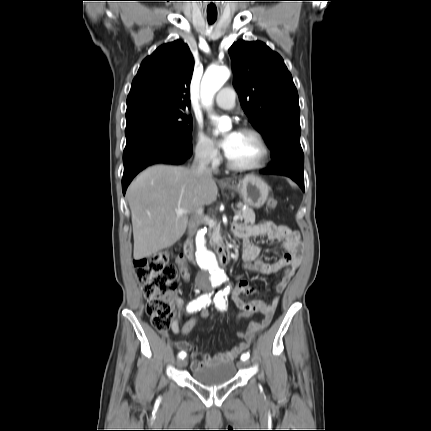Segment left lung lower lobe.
Listing matches in <instances>:
<instances>
[{
  "label": "left lung lower lobe",
  "mask_w": 431,
  "mask_h": 431,
  "mask_svg": "<svg viewBox=\"0 0 431 431\" xmlns=\"http://www.w3.org/2000/svg\"><path fill=\"white\" fill-rule=\"evenodd\" d=\"M304 155L285 153L272 160L271 167L261 171L263 174L284 175L293 179L304 190Z\"/></svg>",
  "instance_id": "0a47b994"
}]
</instances>
